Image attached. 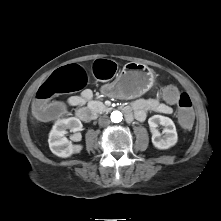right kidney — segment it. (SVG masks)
<instances>
[{
    "mask_svg": "<svg viewBox=\"0 0 221 221\" xmlns=\"http://www.w3.org/2000/svg\"><path fill=\"white\" fill-rule=\"evenodd\" d=\"M83 125L78 118L70 117L67 119L57 120L49 133V147L53 154L58 157L66 158L74 153H79L82 150V145H73L65 134L67 129L71 132H77L82 129ZM81 136H79V140Z\"/></svg>",
    "mask_w": 221,
    "mask_h": 221,
    "instance_id": "obj_1",
    "label": "right kidney"
}]
</instances>
